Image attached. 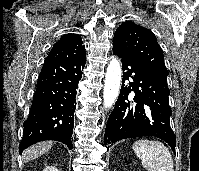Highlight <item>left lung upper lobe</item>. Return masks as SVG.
Segmentation results:
<instances>
[{"label":"left lung upper lobe","mask_w":199,"mask_h":171,"mask_svg":"<svg viewBox=\"0 0 199 171\" xmlns=\"http://www.w3.org/2000/svg\"><path fill=\"white\" fill-rule=\"evenodd\" d=\"M113 46L123 50L136 62L167 78L168 70L155 35L131 21L122 23L114 34Z\"/></svg>","instance_id":"left-lung-upper-lobe-1"}]
</instances>
